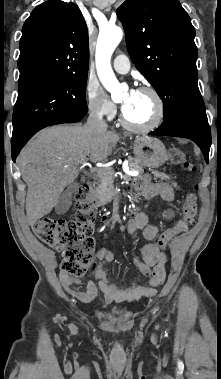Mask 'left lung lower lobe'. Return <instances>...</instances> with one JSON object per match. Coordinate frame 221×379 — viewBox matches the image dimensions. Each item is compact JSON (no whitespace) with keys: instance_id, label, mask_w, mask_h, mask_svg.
<instances>
[{"instance_id":"0a47b994","label":"left lung lower lobe","mask_w":221,"mask_h":379,"mask_svg":"<svg viewBox=\"0 0 221 379\" xmlns=\"http://www.w3.org/2000/svg\"><path fill=\"white\" fill-rule=\"evenodd\" d=\"M149 134L191 139L200 147L208 163L211 131L207 119L182 114L173 115L163 120V123Z\"/></svg>"}]
</instances>
